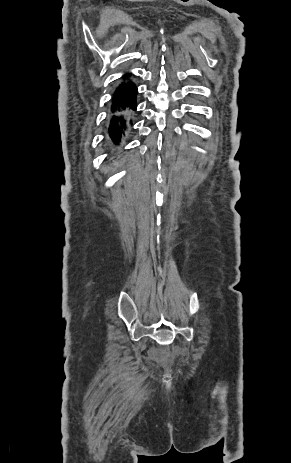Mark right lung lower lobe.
I'll use <instances>...</instances> for the list:
<instances>
[{"mask_svg":"<svg viewBox=\"0 0 291 463\" xmlns=\"http://www.w3.org/2000/svg\"><path fill=\"white\" fill-rule=\"evenodd\" d=\"M137 93V87L129 82L121 84L113 95L106 139L113 148L118 147L130 135L132 118L137 109Z\"/></svg>","mask_w":291,"mask_h":463,"instance_id":"1","label":"right lung lower lobe"}]
</instances>
